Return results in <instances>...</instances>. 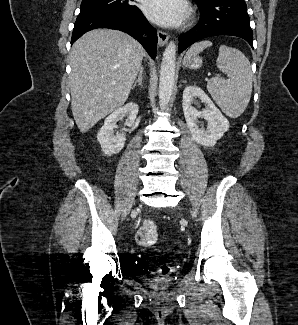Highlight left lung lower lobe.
<instances>
[{
    "instance_id": "left-lung-lower-lobe-1",
    "label": "left lung lower lobe",
    "mask_w": 298,
    "mask_h": 325,
    "mask_svg": "<svg viewBox=\"0 0 298 325\" xmlns=\"http://www.w3.org/2000/svg\"><path fill=\"white\" fill-rule=\"evenodd\" d=\"M198 6L200 20L179 37V53L201 39L216 35L241 37L253 48V32L244 0H209Z\"/></svg>"
}]
</instances>
